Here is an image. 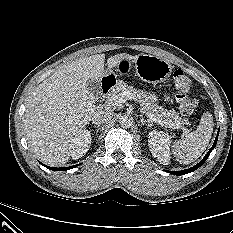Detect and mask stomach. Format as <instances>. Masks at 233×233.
I'll use <instances>...</instances> for the list:
<instances>
[{
	"label": "stomach",
	"mask_w": 233,
	"mask_h": 233,
	"mask_svg": "<svg viewBox=\"0 0 233 233\" xmlns=\"http://www.w3.org/2000/svg\"><path fill=\"white\" fill-rule=\"evenodd\" d=\"M138 77L150 84H158L166 81L172 73V65L165 59L158 56L140 54L133 60ZM123 63L130 64V60H122Z\"/></svg>",
	"instance_id": "obj_1"
}]
</instances>
